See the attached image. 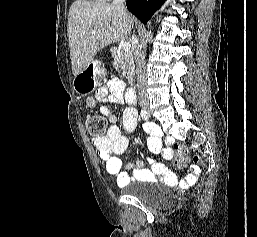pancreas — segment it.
<instances>
[{"label": "pancreas", "mask_w": 257, "mask_h": 237, "mask_svg": "<svg viewBox=\"0 0 257 237\" xmlns=\"http://www.w3.org/2000/svg\"><path fill=\"white\" fill-rule=\"evenodd\" d=\"M110 52L116 63L123 66V70L127 74L128 83L132 84L135 75V64L132 51L119 52L117 47H113Z\"/></svg>", "instance_id": "cf45deb5"}]
</instances>
